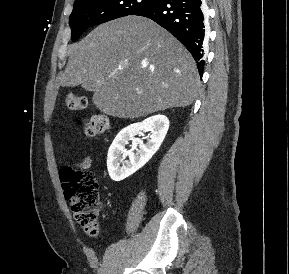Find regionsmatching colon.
Segmentation results:
<instances>
[{"label": "colon", "mask_w": 289, "mask_h": 274, "mask_svg": "<svg viewBox=\"0 0 289 274\" xmlns=\"http://www.w3.org/2000/svg\"><path fill=\"white\" fill-rule=\"evenodd\" d=\"M88 99L82 95L69 94L65 105L71 111H82L88 107ZM110 123L103 113L91 116L83 124L86 137L92 138L108 132ZM61 181L66 200L71 206L75 219L90 236L99 231V212L102 204L99 199V185L95 175L86 170H76L70 166L61 171Z\"/></svg>", "instance_id": "5ec220e1"}]
</instances>
